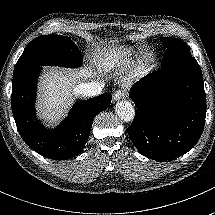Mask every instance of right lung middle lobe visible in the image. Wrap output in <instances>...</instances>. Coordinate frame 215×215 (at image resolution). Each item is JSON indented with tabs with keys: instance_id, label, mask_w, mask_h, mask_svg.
Returning a JSON list of instances; mask_svg holds the SVG:
<instances>
[{
	"instance_id": "dd1d6c3e",
	"label": "right lung middle lobe",
	"mask_w": 215,
	"mask_h": 215,
	"mask_svg": "<svg viewBox=\"0 0 215 215\" xmlns=\"http://www.w3.org/2000/svg\"><path fill=\"white\" fill-rule=\"evenodd\" d=\"M82 54L66 36L44 35L31 41L17 61L14 73L35 66L79 67Z\"/></svg>"
}]
</instances>
